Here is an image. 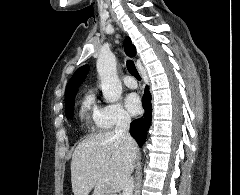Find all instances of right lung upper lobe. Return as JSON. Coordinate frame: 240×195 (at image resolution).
<instances>
[{
    "instance_id": "right-lung-upper-lobe-1",
    "label": "right lung upper lobe",
    "mask_w": 240,
    "mask_h": 195,
    "mask_svg": "<svg viewBox=\"0 0 240 195\" xmlns=\"http://www.w3.org/2000/svg\"><path fill=\"white\" fill-rule=\"evenodd\" d=\"M125 52L133 57L136 54L135 46L131 43L129 37L126 38L124 42ZM89 71V66L84 65L80 67L70 79L67 88H66V95H65V107L68 106L71 102H74V98L79 86L85 80L87 73Z\"/></svg>"
}]
</instances>
